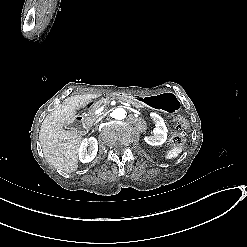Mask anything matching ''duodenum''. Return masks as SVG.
Returning <instances> with one entry per match:
<instances>
[{"instance_id":"1","label":"duodenum","mask_w":247,"mask_h":247,"mask_svg":"<svg viewBox=\"0 0 247 247\" xmlns=\"http://www.w3.org/2000/svg\"><path fill=\"white\" fill-rule=\"evenodd\" d=\"M118 97L126 99H134L132 95H118ZM93 107V102L86 103L81 110L75 115L72 121V126L82 129L84 127L85 113Z\"/></svg>"}]
</instances>
